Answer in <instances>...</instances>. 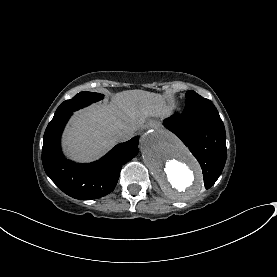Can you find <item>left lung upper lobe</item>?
<instances>
[{"mask_svg":"<svg viewBox=\"0 0 277 277\" xmlns=\"http://www.w3.org/2000/svg\"><path fill=\"white\" fill-rule=\"evenodd\" d=\"M185 117L219 116L213 103L194 91L186 93V107L181 113Z\"/></svg>","mask_w":277,"mask_h":277,"instance_id":"5c2ea615","label":"left lung upper lobe"}]
</instances>
